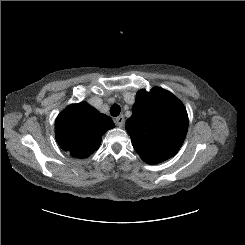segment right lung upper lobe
I'll list each match as a JSON object with an SVG mask.
<instances>
[{
  "label": "right lung upper lobe",
  "mask_w": 245,
  "mask_h": 245,
  "mask_svg": "<svg viewBox=\"0 0 245 245\" xmlns=\"http://www.w3.org/2000/svg\"><path fill=\"white\" fill-rule=\"evenodd\" d=\"M113 127L110 117L86 102L72 104L56 119V140L73 157L85 158L99 148L103 134Z\"/></svg>",
  "instance_id": "right-lung-upper-lobe-1"
}]
</instances>
